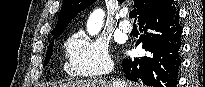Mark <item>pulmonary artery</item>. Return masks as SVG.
I'll use <instances>...</instances> for the list:
<instances>
[{
	"instance_id": "pulmonary-artery-1",
	"label": "pulmonary artery",
	"mask_w": 205,
	"mask_h": 87,
	"mask_svg": "<svg viewBox=\"0 0 205 87\" xmlns=\"http://www.w3.org/2000/svg\"><path fill=\"white\" fill-rule=\"evenodd\" d=\"M120 16L123 18V20L119 23V28L123 31V32H126V33H129L131 32L132 30V24L125 20V17L127 16V12L126 11H122L120 13Z\"/></svg>"
}]
</instances>
